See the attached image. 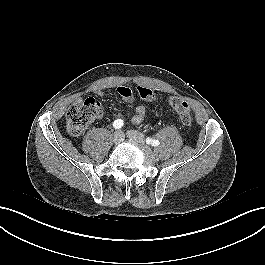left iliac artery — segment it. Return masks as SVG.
<instances>
[{
  "instance_id": "44dca946",
  "label": "left iliac artery",
  "mask_w": 265,
  "mask_h": 265,
  "mask_svg": "<svg viewBox=\"0 0 265 265\" xmlns=\"http://www.w3.org/2000/svg\"><path fill=\"white\" fill-rule=\"evenodd\" d=\"M146 143L147 144H151L152 146H158L159 144H160V142L158 141V140H152V139H150V138H147L146 139Z\"/></svg>"
}]
</instances>
